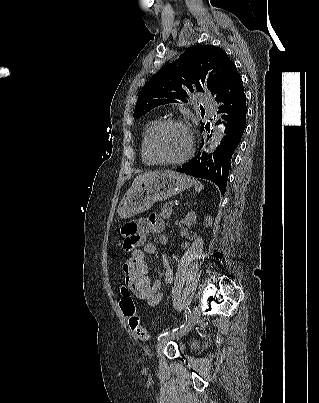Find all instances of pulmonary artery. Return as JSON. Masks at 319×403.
I'll use <instances>...</instances> for the list:
<instances>
[{
  "instance_id": "1",
  "label": "pulmonary artery",
  "mask_w": 319,
  "mask_h": 403,
  "mask_svg": "<svg viewBox=\"0 0 319 403\" xmlns=\"http://www.w3.org/2000/svg\"><path fill=\"white\" fill-rule=\"evenodd\" d=\"M203 104L206 107H211L213 106V102L210 100V98L207 95L203 96Z\"/></svg>"
}]
</instances>
